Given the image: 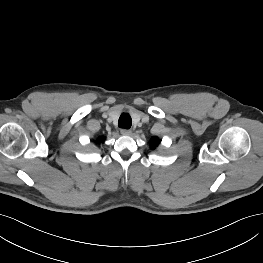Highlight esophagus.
Here are the masks:
<instances>
[{
	"label": "esophagus",
	"instance_id": "esophagus-1",
	"mask_svg": "<svg viewBox=\"0 0 263 263\" xmlns=\"http://www.w3.org/2000/svg\"><path fill=\"white\" fill-rule=\"evenodd\" d=\"M131 133H132V131L129 129H121V134L123 136H129V135H131Z\"/></svg>",
	"mask_w": 263,
	"mask_h": 263
}]
</instances>
